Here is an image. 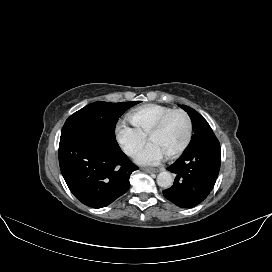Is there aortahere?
Segmentation results:
<instances>
[{"label": "aorta", "instance_id": "obj_1", "mask_svg": "<svg viewBox=\"0 0 272 272\" xmlns=\"http://www.w3.org/2000/svg\"><path fill=\"white\" fill-rule=\"evenodd\" d=\"M157 184L164 189L170 188L173 184L172 174L166 171L160 172L157 176Z\"/></svg>", "mask_w": 272, "mask_h": 272}]
</instances>
